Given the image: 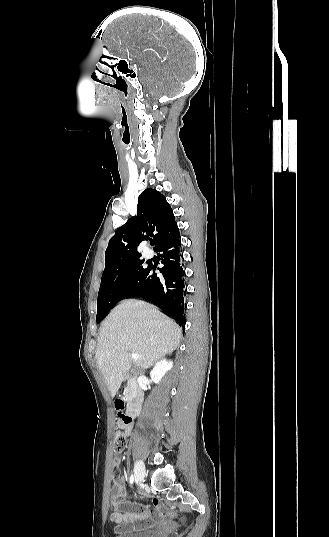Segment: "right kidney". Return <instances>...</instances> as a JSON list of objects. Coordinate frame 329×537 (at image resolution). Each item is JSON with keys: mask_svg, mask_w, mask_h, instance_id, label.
I'll return each instance as SVG.
<instances>
[{"mask_svg": "<svg viewBox=\"0 0 329 537\" xmlns=\"http://www.w3.org/2000/svg\"><path fill=\"white\" fill-rule=\"evenodd\" d=\"M172 366L173 363L166 359L159 361L150 372L152 381L155 383H159L162 377L166 374L168 370L172 368Z\"/></svg>", "mask_w": 329, "mask_h": 537, "instance_id": "ca27d5eb", "label": "right kidney"}]
</instances>
